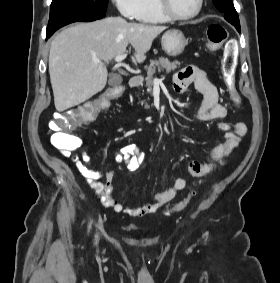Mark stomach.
<instances>
[{
	"mask_svg": "<svg viewBox=\"0 0 280 283\" xmlns=\"http://www.w3.org/2000/svg\"><path fill=\"white\" fill-rule=\"evenodd\" d=\"M187 44L188 40L183 32L178 29L166 31L161 38L162 49L172 57L180 55Z\"/></svg>",
	"mask_w": 280,
	"mask_h": 283,
	"instance_id": "obj_1",
	"label": "stomach"
}]
</instances>
